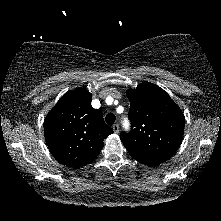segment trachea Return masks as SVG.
Returning <instances> with one entry per match:
<instances>
[{"mask_svg":"<svg viewBox=\"0 0 221 221\" xmlns=\"http://www.w3.org/2000/svg\"><path fill=\"white\" fill-rule=\"evenodd\" d=\"M115 119H116V117H115V115L112 114V113H108V114L106 115V117H105L106 123H107L108 125L114 124Z\"/></svg>","mask_w":221,"mask_h":221,"instance_id":"trachea-1","label":"trachea"}]
</instances>
